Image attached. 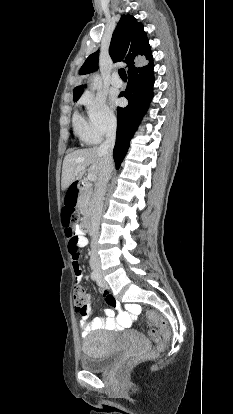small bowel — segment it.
I'll use <instances>...</instances> for the list:
<instances>
[{
  "instance_id": "c3829d8e",
  "label": "small bowel",
  "mask_w": 233,
  "mask_h": 414,
  "mask_svg": "<svg viewBox=\"0 0 233 414\" xmlns=\"http://www.w3.org/2000/svg\"><path fill=\"white\" fill-rule=\"evenodd\" d=\"M77 245L79 248H83L88 244V239L80 232L76 231ZM81 253L78 250L72 252V262L75 277V287L80 286V281L83 277V270L80 267L79 257ZM106 302L111 308L104 311L103 316L95 317L96 310H93V306L89 303H84V309L82 306H77V311H82V321L80 322V328L82 335H87L90 331L96 329H127L131 328L137 320L136 315L140 312V306L136 302H131L125 305V310H122L120 302L108 293H104ZM88 302L90 297L88 296ZM91 313V314H90Z\"/></svg>"
}]
</instances>
